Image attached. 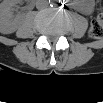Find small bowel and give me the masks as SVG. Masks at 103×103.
<instances>
[{
    "mask_svg": "<svg viewBox=\"0 0 103 103\" xmlns=\"http://www.w3.org/2000/svg\"><path fill=\"white\" fill-rule=\"evenodd\" d=\"M79 11L84 14H91L94 8V4L90 1L83 2L78 5Z\"/></svg>",
    "mask_w": 103,
    "mask_h": 103,
    "instance_id": "small-bowel-1",
    "label": "small bowel"
}]
</instances>
